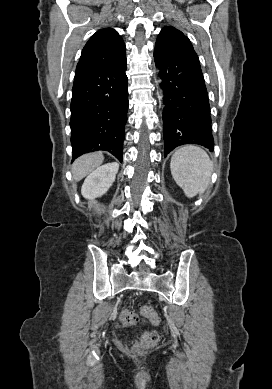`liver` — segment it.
<instances>
[{
	"label": "liver",
	"instance_id": "liver-1",
	"mask_svg": "<svg viewBox=\"0 0 272 389\" xmlns=\"http://www.w3.org/2000/svg\"><path fill=\"white\" fill-rule=\"evenodd\" d=\"M103 160L101 152L86 154L78 158L72 166L74 180L77 182L86 177L100 166Z\"/></svg>",
	"mask_w": 272,
	"mask_h": 389
}]
</instances>
